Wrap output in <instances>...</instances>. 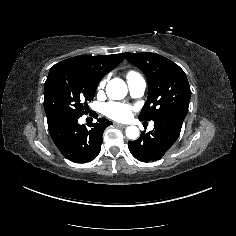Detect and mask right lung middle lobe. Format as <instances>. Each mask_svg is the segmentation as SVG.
Returning a JSON list of instances; mask_svg holds the SVG:
<instances>
[{"label": "right lung middle lobe", "mask_w": 236, "mask_h": 236, "mask_svg": "<svg viewBox=\"0 0 236 236\" xmlns=\"http://www.w3.org/2000/svg\"><path fill=\"white\" fill-rule=\"evenodd\" d=\"M99 80L86 68L55 64L44 84V109L47 122L81 117L87 113V101L93 99Z\"/></svg>", "instance_id": "1"}]
</instances>
